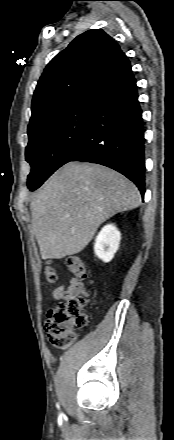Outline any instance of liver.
I'll use <instances>...</instances> for the list:
<instances>
[{
    "label": "liver",
    "mask_w": 174,
    "mask_h": 440,
    "mask_svg": "<svg viewBox=\"0 0 174 440\" xmlns=\"http://www.w3.org/2000/svg\"><path fill=\"white\" fill-rule=\"evenodd\" d=\"M140 202L137 187L122 174L98 164H65L30 204L32 230L42 259L81 252L103 222Z\"/></svg>",
    "instance_id": "6515ba94"
}]
</instances>
